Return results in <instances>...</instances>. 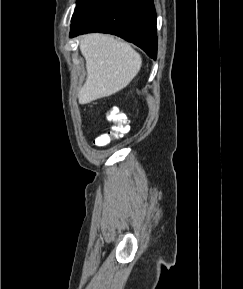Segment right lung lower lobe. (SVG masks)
I'll list each match as a JSON object with an SVG mask.
<instances>
[{"label":"right lung lower lobe","mask_w":243,"mask_h":289,"mask_svg":"<svg viewBox=\"0 0 243 289\" xmlns=\"http://www.w3.org/2000/svg\"><path fill=\"white\" fill-rule=\"evenodd\" d=\"M70 37L103 32L128 40L151 58L157 56L153 0H82L71 20Z\"/></svg>","instance_id":"right-lung-lower-lobe-1"}]
</instances>
